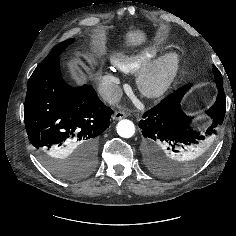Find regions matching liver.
Wrapping results in <instances>:
<instances>
[{"label": "liver", "instance_id": "liver-1", "mask_svg": "<svg viewBox=\"0 0 236 236\" xmlns=\"http://www.w3.org/2000/svg\"><path fill=\"white\" fill-rule=\"evenodd\" d=\"M143 41V34L138 32H130L127 35V43L128 44H140Z\"/></svg>", "mask_w": 236, "mask_h": 236}]
</instances>
